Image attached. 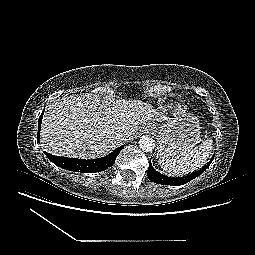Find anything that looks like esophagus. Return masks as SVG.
<instances>
[{
  "instance_id": "1",
  "label": "esophagus",
  "mask_w": 255,
  "mask_h": 255,
  "mask_svg": "<svg viewBox=\"0 0 255 255\" xmlns=\"http://www.w3.org/2000/svg\"><path fill=\"white\" fill-rule=\"evenodd\" d=\"M153 130V126L151 124H145L142 127V132L144 133H150Z\"/></svg>"
}]
</instances>
